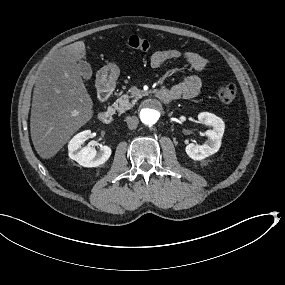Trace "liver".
Instances as JSON below:
<instances>
[{
  "label": "liver",
  "instance_id": "liver-1",
  "mask_svg": "<svg viewBox=\"0 0 285 285\" xmlns=\"http://www.w3.org/2000/svg\"><path fill=\"white\" fill-rule=\"evenodd\" d=\"M87 55L84 41L54 52L34 88L30 134L37 154L53 158L71 137L94 116L78 63Z\"/></svg>",
  "mask_w": 285,
  "mask_h": 285
}]
</instances>
